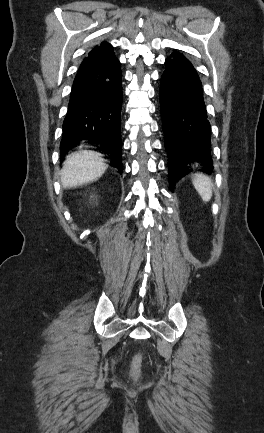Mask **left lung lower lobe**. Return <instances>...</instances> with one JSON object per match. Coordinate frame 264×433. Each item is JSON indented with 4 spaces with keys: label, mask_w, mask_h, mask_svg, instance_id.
<instances>
[{
    "label": "left lung lower lobe",
    "mask_w": 264,
    "mask_h": 433,
    "mask_svg": "<svg viewBox=\"0 0 264 433\" xmlns=\"http://www.w3.org/2000/svg\"><path fill=\"white\" fill-rule=\"evenodd\" d=\"M161 77L160 109L169 181L175 183L190 173V165L199 163L210 173L211 126L207 118L203 88L197 71L181 53L173 52L165 60Z\"/></svg>",
    "instance_id": "1"
}]
</instances>
